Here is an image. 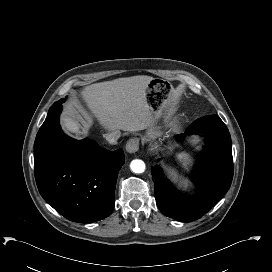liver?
<instances>
[{"label": "liver", "mask_w": 272, "mask_h": 272, "mask_svg": "<svg viewBox=\"0 0 272 272\" xmlns=\"http://www.w3.org/2000/svg\"><path fill=\"white\" fill-rule=\"evenodd\" d=\"M153 78L138 75L87 86L81 95L88 108L109 131L136 132L153 122L146 101V87ZM63 126L76 135L84 134L77 119L69 114L62 118Z\"/></svg>", "instance_id": "liver-1"}]
</instances>
